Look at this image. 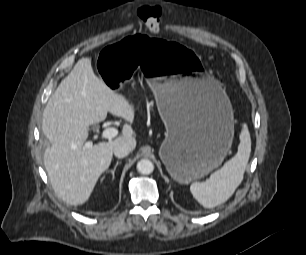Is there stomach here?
<instances>
[{"label": "stomach", "mask_w": 306, "mask_h": 255, "mask_svg": "<svg viewBox=\"0 0 306 255\" xmlns=\"http://www.w3.org/2000/svg\"><path fill=\"white\" fill-rule=\"evenodd\" d=\"M97 67L114 91L132 73L147 76L166 127L159 156L175 181L189 184L220 165L233 139L232 106L191 50L129 33L98 55Z\"/></svg>", "instance_id": "stomach-1"}]
</instances>
